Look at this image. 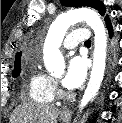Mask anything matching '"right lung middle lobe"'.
<instances>
[{"mask_svg":"<svg viewBox=\"0 0 122 123\" xmlns=\"http://www.w3.org/2000/svg\"><path fill=\"white\" fill-rule=\"evenodd\" d=\"M20 69H21V68H20V65L14 68V70H13V74H12V75H13V77H15V78H16V77H18V76H19V74H20Z\"/></svg>","mask_w":122,"mask_h":123,"instance_id":"dd1d6c3e","label":"right lung middle lobe"}]
</instances>
